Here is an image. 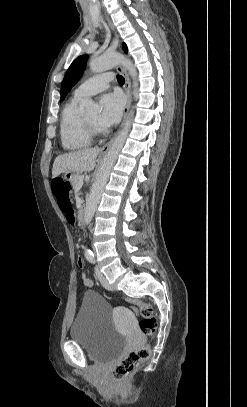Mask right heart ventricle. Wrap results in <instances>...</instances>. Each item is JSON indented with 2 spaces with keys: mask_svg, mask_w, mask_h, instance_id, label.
<instances>
[{
  "mask_svg": "<svg viewBox=\"0 0 247 407\" xmlns=\"http://www.w3.org/2000/svg\"><path fill=\"white\" fill-rule=\"evenodd\" d=\"M81 102V98L74 96L62 108L60 139L62 147L68 151L84 149L92 142L82 123Z\"/></svg>",
  "mask_w": 247,
  "mask_h": 407,
  "instance_id": "1",
  "label": "right heart ventricle"
}]
</instances>
